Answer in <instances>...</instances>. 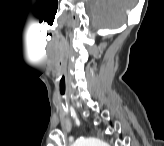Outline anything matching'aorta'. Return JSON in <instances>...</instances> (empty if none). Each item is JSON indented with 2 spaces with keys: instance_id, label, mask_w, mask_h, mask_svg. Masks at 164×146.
Returning <instances> with one entry per match:
<instances>
[{
  "instance_id": "1",
  "label": "aorta",
  "mask_w": 164,
  "mask_h": 146,
  "mask_svg": "<svg viewBox=\"0 0 164 146\" xmlns=\"http://www.w3.org/2000/svg\"><path fill=\"white\" fill-rule=\"evenodd\" d=\"M105 142L97 138H88L79 142L78 146H105Z\"/></svg>"
}]
</instances>
